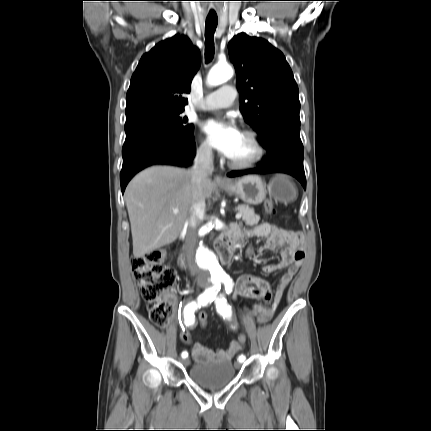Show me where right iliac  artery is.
Segmentation results:
<instances>
[{
  "label": "right iliac artery",
  "instance_id": "1",
  "mask_svg": "<svg viewBox=\"0 0 431 431\" xmlns=\"http://www.w3.org/2000/svg\"><path fill=\"white\" fill-rule=\"evenodd\" d=\"M221 287L220 283L215 285V287L205 290L199 297L197 301H191L188 303L183 310L184 323L186 326L192 325L194 323V312L201 306H206L208 303L213 301V293L215 290H219ZM188 353L186 351L182 352V358H186Z\"/></svg>",
  "mask_w": 431,
  "mask_h": 431
}]
</instances>
